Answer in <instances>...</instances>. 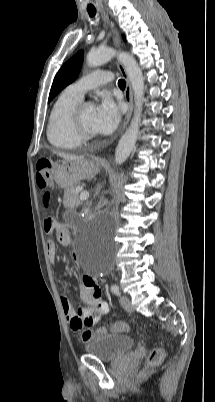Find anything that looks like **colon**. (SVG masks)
I'll return each instance as SVG.
<instances>
[{
    "label": "colon",
    "instance_id": "obj_1",
    "mask_svg": "<svg viewBox=\"0 0 215 402\" xmlns=\"http://www.w3.org/2000/svg\"><path fill=\"white\" fill-rule=\"evenodd\" d=\"M54 164L53 156H40L36 164V183L38 189L43 193L45 202L47 203L50 198V191L53 188L54 181L52 175V165ZM55 220L53 218H46L44 220V228L50 230L54 227ZM110 330L115 333L128 331V325L125 322L119 321L114 323ZM107 333L106 328H99L97 330H85L82 333V340L88 342L96 336ZM164 358V351L161 348L153 349L148 357L147 364L155 366L159 364Z\"/></svg>",
    "mask_w": 215,
    "mask_h": 402
}]
</instances>
